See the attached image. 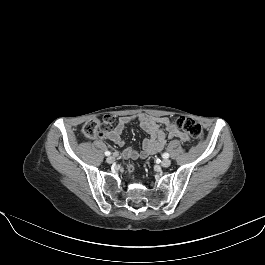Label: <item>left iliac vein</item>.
Listing matches in <instances>:
<instances>
[{
	"label": "left iliac vein",
	"instance_id": "1",
	"mask_svg": "<svg viewBox=\"0 0 265 265\" xmlns=\"http://www.w3.org/2000/svg\"><path fill=\"white\" fill-rule=\"evenodd\" d=\"M171 165V161L169 159H163L161 162V166L169 167Z\"/></svg>",
	"mask_w": 265,
	"mask_h": 265
}]
</instances>
